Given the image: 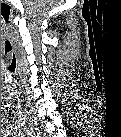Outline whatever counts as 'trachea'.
<instances>
[{"label":"trachea","mask_w":121,"mask_h":137,"mask_svg":"<svg viewBox=\"0 0 121 137\" xmlns=\"http://www.w3.org/2000/svg\"><path fill=\"white\" fill-rule=\"evenodd\" d=\"M1 15H2L3 28L8 34L10 41L13 43L14 41L13 21L10 13V7L7 4H4L3 6H1Z\"/></svg>","instance_id":"1"}]
</instances>
